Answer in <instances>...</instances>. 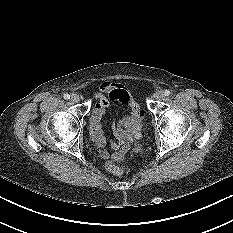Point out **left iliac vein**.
<instances>
[{
    "instance_id": "4c4485c4",
    "label": "left iliac vein",
    "mask_w": 233,
    "mask_h": 233,
    "mask_svg": "<svg viewBox=\"0 0 233 233\" xmlns=\"http://www.w3.org/2000/svg\"><path fill=\"white\" fill-rule=\"evenodd\" d=\"M154 98H155L156 100H162V99L164 98V93H163V91H158V92H156V93L154 94Z\"/></svg>"
}]
</instances>
